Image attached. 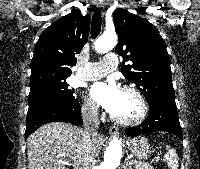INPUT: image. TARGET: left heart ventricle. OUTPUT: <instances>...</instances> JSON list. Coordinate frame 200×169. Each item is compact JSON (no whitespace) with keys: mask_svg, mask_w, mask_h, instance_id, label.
<instances>
[{"mask_svg":"<svg viewBox=\"0 0 200 169\" xmlns=\"http://www.w3.org/2000/svg\"><path fill=\"white\" fill-rule=\"evenodd\" d=\"M140 112L138 99L129 92H120L119 101L113 115L122 119H133Z\"/></svg>","mask_w":200,"mask_h":169,"instance_id":"obj_1","label":"left heart ventricle"}]
</instances>
